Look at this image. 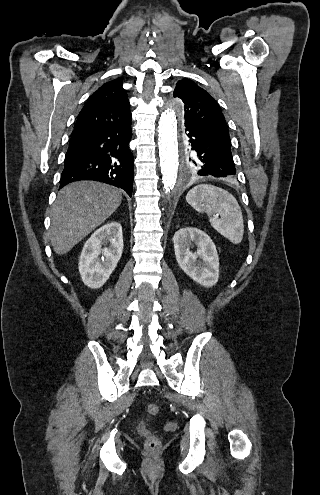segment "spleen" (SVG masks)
<instances>
[{
  "label": "spleen",
  "instance_id": "1",
  "mask_svg": "<svg viewBox=\"0 0 320 495\" xmlns=\"http://www.w3.org/2000/svg\"><path fill=\"white\" fill-rule=\"evenodd\" d=\"M186 201L196 211H205L211 226L231 243L238 244L242 241V211L238 201L228 191L214 185L201 184L187 193ZM212 214H218L220 218L211 217Z\"/></svg>",
  "mask_w": 320,
  "mask_h": 495
}]
</instances>
